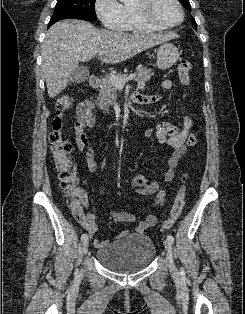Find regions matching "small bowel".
I'll return each instance as SVG.
<instances>
[{
    "mask_svg": "<svg viewBox=\"0 0 245 314\" xmlns=\"http://www.w3.org/2000/svg\"><path fill=\"white\" fill-rule=\"evenodd\" d=\"M162 87L169 90L173 87V81L166 79L162 82ZM141 89H146L147 84L140 83ZM142 96L138 99V103L151 104L161 100L162 96L158 94H139ZM94 106L92 102L86 100L79 103L76 107L77 122L75 124V139L78 149L84 154L85 162L91 172L97 170V162L95 160V152L91 147L85 129L91 128L95 124V117L93 114ZM193 119L190 114H186L183 120V127L176 128L169 123L159 122L154 128L147 129L145 132L146 137L155 136L160 143L167 144L172 148V153L167 159V169L162 177L158 180H149L144 175H136L132 178L131 187L141 195H155L153 207L163 206L166 199V192L164 187L170 183L174 178L175 168L177 167L180 159L187 151L188 146L194 145L198 141L199 134L191 132L193 127ZM103 192V189H101ZM82 201L87 204V197L82 195ZM109 219L118 223H134L136 217L128 212L111 210L107 213ZM97 216L95 214H88L86 228L90 235H93L97 230ZM158 222L155 215L149 214L144 219L140 220L135 226L134 230L137 234H143ZM129 234L128 230H123L116 236L117 238L125 237ZM96 246L107 244V241L95 240Z\"/></svg>",
    "mask_w": 245,
    "mask_h": 314,
    "instance_id": "obj_1",
    "label": "small bowel"
}]
</instances>
